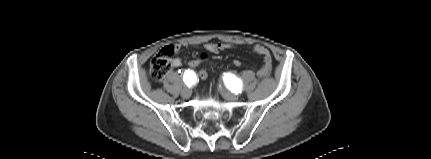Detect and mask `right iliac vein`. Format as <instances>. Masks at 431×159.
<instances>
[{
	"label": "right iliac vein",
	"mask_w": 431,
	"mask_h": 159,
	"mask_svg": "<svg viewBox=\"0 0 431 159\" xmlns=\"http://www.w3.org/2000/svg\"><path fill=\"white\" fill-rule=\"evenodd\" d=\"M181 96L183 97V98H189L190 96H191V90H190V88H188V87H184L182 90H181Z\"/></svg>",
	"instance_id": "63e3f726"
}]
</instances>
